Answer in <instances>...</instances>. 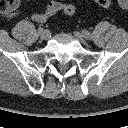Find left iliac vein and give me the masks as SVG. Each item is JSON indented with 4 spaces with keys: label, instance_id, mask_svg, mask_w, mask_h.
I'll use <instances>...</instances> for the list:
<instances>
[{
    "label": "left iliac vein",
    "instance_id": "1",
    "mask_svg": "<svg viewBox=\"0 0 128 128\" xmlns=\"http://www.w3.org/2000/svg\"><path fill=\"white\" fill-rule=\"evenodd\" d=\"M74 35L76 36V38L82 43V44H86V39L84 37V35L78 31L74 32Z\"/></svg>",
    "mask_w": 128,
    "mask_h": 128
}]
</instances>
